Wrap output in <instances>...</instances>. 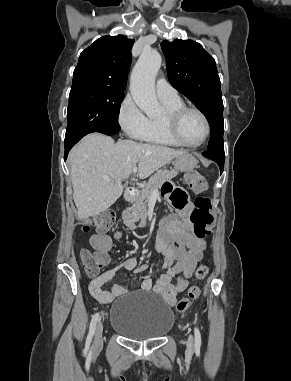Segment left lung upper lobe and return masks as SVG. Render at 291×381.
I'll list each match as a JSON object with an SVG mask.
<instances>
[{
  "label": "left lung upper lobe",
  "mask_w": 291,
  "mask_h": 381,
  "mask_svg": "<svg viewBox=\"0 0 291 381\" xmlns=\"http://www.w3.org/2000/svg\"><path fill=\"white\" fill-rule=\"evenodd\" d=\"M171 85L204 113L211 127L208 151H224L223 101L214 58L192 40L161 42Z\"/></svg>",
  "instance_id": "obj_1"
}]
</instances>
